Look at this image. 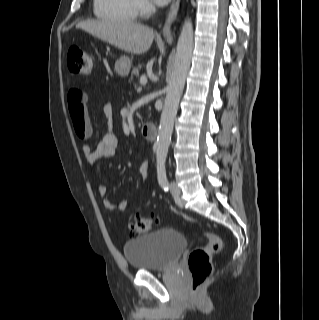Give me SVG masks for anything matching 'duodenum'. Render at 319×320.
<instances>
[{"label":"duodenum","mask_w":319,"mask_h":320,"mask_svg":"<svg viewBox=\"0 0 319 320\" xmlns=\"http://www.w3.org/2000/svg\"><path fill=\"white\" fill-rule=\"evenodd\" d=\"M142 136L148 141H155L158 136V130L155 124L145 123L141 128Z\"/></svg>","instance_id":"410a0bca"}]
</instances>
